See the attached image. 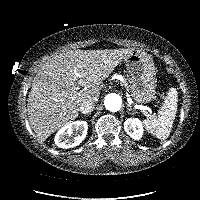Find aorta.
I'll return each instance as SVG.
<instances>
[{"label": "aorta", "mask_w": 200, "mask_h": 200, "mask_svg": "<svg viewBox=\"0 0 200 200\" xmlns=\"http://www.w3.org/2000/svg\"><path fill=\"white\" fill-rule=\"evenodd\" d=\"M122 104L121 97L115 93H109L105 96L104 105L110 112H117L120 110Z\"/></svg>", "instance_id": "aorta-1"}]
</instances>
